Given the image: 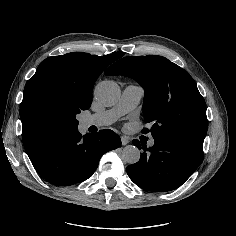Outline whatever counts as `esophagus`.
<instances>
[{
  "mask_svg": "<svg viewBox=\"0 0 236 236\" xmlns=\"http://www.w3.org/2000/svg\"><path fill=\"white\" fill-rule=\"evenodd\" d=\"M121 142H122V145H127L129 143V140L125 136H122L121 137Z\"/></svg>",
  "mask_w": 236,
  "mask_h": 236,
  "instance_id": "obj_1",
  "label": "esophagus"
}]
</instances>
